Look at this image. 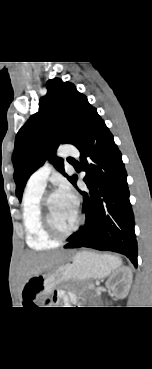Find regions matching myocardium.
<instances>
[{
	"instance_id": "myocardium-1",
	"label": "myocardium",
	"mask_w": 152,
	"mask_h": 369,
	"mask_svg": "<svg viewBox=\"0 0 152 369\" xmlns=\"http://www.w3.org/2000/svg\"><path fill=\"white\" fill-rule=\"evenodd\" d=\"M53 194H56V193L52 192V193L45 194L43 195L41 199L40 207H41V214H42V223H43V227L45 231L48 233V235L51 238L57 241H61V240H64L70 237L79 229V227L81 226L83 222V216L77 206L76 207L77 217H76V221L74 225L68 231H65V232L58 230V228L54 224L51 210H50V205H49L50 198Z\"/></svg>"
}]
</instances>
